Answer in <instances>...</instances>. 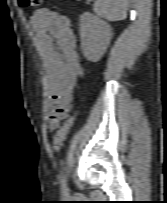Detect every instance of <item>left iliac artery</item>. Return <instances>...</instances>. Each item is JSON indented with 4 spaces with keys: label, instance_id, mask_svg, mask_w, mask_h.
Masks as SVG:
<instances>
[{
    "label": "left iliac artery",
    "instance_id": "44dca946",
    "mask_svg": "<svg viewBox=\"0 0 167 203\" xmlns=\"http://www.w3.org/2000/svg\"><path fill=\"white\" fill-rule=\"evenodd\" d=\"M61 186H62V189L64 191L67 190V186H66V181H65V176L64 175L62 176V179H61Z\"/></svg>",
    "mask_w": 167,
    "mask_h": 203
}]
</instances>
